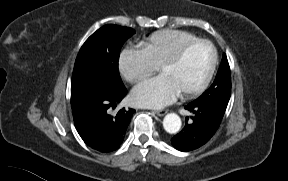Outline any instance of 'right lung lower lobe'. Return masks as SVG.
I'll use <instances>...</instances> for the list:
<instances>
[{
	"label": "right lung lower lobe",
	"mask_w": 288,
	"mask_h": 181,
	"mask_svg": "<svg viewBox=\"0 0 288 181\" xmlns=\"http://www.w3.org/2000/svg\"><path fill=\"white\" fill-rule=\"evenodd\" d=\"M126 94L125 87L113 90L99 84L91 89L80 114L74 118L75 127L88 146L105 153L120 147L135 110L123 108L112 116L108 109L119 103Z\"/></svg>",
	"instance_id": "right-lung-lower-lobe-1"
}]
</instances>
